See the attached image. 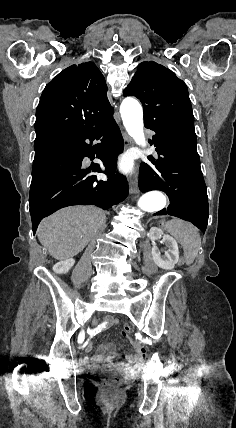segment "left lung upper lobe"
Wrapping results in <instances>:
<instances>
[{
    "label": "left lung upper lobe",
    "mask_w": 236,
    "mask_h": 428,
    "mask_svg": "<svg viewBox=\"0 0 236 428\" xmlns=\"http://www.w3.org/2000/svg\"><path fill=\"white\" fill-rule=\"evenodd\" d=\"M143 104L145 126L165 130L178 141L196 148L194 116L186 84L171 70L150 61L138 70L124 90Z\"/></svg>",
    "instance_id": "obj_1"
}]
</instances>
